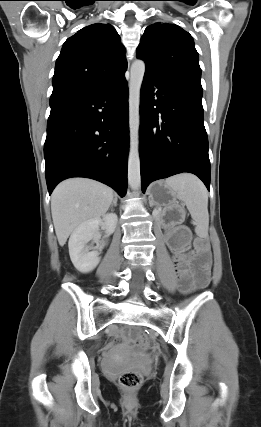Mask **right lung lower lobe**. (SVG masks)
Masks as SVG:
<instances>
[{
	"label": "right lung lower lobe",
	"mask_w": 261,
	"mask_h": 427,
	"mask_svg": "<svg viewBox=\"0 0 261 427\" xmlns=\"http://www.w3.org/2000/svg\"><path fill=\"white\" fill-rule=\"evenodd\" d=\"M127 99L123 77L103 89L51 106L44 144L49 194L64 179L88 177L125 195Z\"/></svg>",
	"instance_id": "98d812e1"
}]
</instances>
